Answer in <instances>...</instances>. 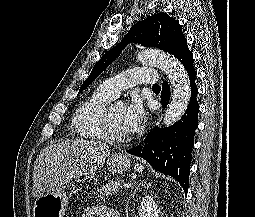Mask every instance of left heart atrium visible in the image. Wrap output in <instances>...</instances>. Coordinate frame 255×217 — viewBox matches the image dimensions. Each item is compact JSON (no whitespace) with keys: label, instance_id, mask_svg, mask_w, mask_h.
Returning <instances> with one entry per match:
<instances>
[{"label":"left heart atrium","instance_id":"39dd6f15","mask_svg":"<svg viewBox=\"0 0 255 217\" xmlns=\"http://www.w3.org/2000/svg\"><path fill=\"white\" fill-rule=\"evenodd\" d=\"M146 118L145 110L139 100L132 101L124 110V124L128 134L139 131Z\"/></svg>","mask_w":255,"mask_h":217}]
</instances>
